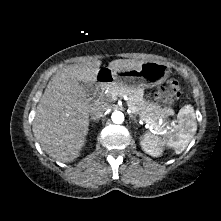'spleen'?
<instances>
[{"label":"spleen","instance_id":"obj_1","mask_svg":"<svg viewBox=\"0 0 221 221\" xmlns=\"http://www.w3.org/2000/svg\"><path fill=\"white\" fill-rule=\"evenodd\" d=\"M177 118L179 123L168 136L162 138L153 133H146L145 139L173 148L178 154L182 153L197 130L196 116L193 107L191 105H185L180 109Z\"/></svg>","mask_w":221,"mask_h":221}]
</instances>
